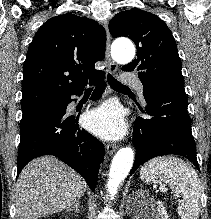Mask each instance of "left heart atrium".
<instances>
[{
	"mask_svg": "<svg viewBox=\"0 0 211 219\" xmlns=\"http://www.w3.org/2000/svg\"><path fill=\"white\" fill-rule=\"evenodd\" d=\"M86 127L104 139H116L125 132V123L117 107L105 104L85 117Z\"/></svg>",
	"mask_w": 211,
	"mask_h": 219,
	"instance_id": "1",
	"label": "left heart atrium"
}]
</instances>
